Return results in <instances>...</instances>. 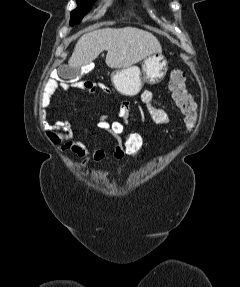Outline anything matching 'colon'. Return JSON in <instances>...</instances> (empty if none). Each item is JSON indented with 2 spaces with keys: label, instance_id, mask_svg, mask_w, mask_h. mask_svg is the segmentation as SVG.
Here are the masks:
<instances>
[{
  "label": "colon",
  "instance_id": "obj_1",
  "mask_svg": "<svg viewBox=\"0 0 240 287\" xmlns=\"http://www.w3.org/2000/svg\"><path fill=\"white\" fill-rule=\"evenodd\" d=\"M185 82L186 74L183 70L174 69L171 72L169 90L177 108L184 115L187 129L191 130L196 124V107L191 95L186 90ZM62 84L66 88L75 87L89 91L95 88V83L89 80ZM106 127L111 130L113 137L120 139L126 158L134 163L142 159L144 155V138L140 133L130 131L128 126L119 120L109 121Z\"/></svg>",
  "mask_w": 240,
  "mask_h": 287
}]
</instances>
